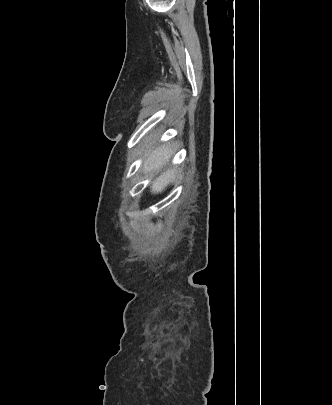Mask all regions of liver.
I'll return each instance as SVG.
<instances>
[{
	"mask_svg": "<svg viewBox=\"0 0 332 405\" xmlns=\"http://www.w3.org/2000/svg\"><path fill=\"white\" fill-rule=\"evenodd\" d=\"M146 159L143 163L144 172L152 175L161 171L165 165L169 162L172 153L173 146L170 144H164L161 146H155L150 143L145 150ZM179 171L177 169H169L161 172V174L152 182L150 189L151 193H161L167 185L175 180Z\"/></svg>",
	"mask_w": 332,
	"mask_h": 405,
	"instance_id": "6515ba94",
	"label": "liver"
}]
</instances>
